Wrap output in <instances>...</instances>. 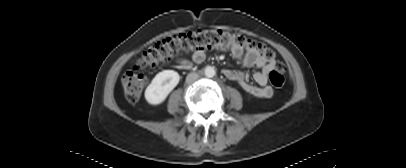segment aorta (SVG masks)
Masks as SVG:
<instances>
[{
    "label": "aorta",
    "mask_w": 406,
    "mask_h": 168,
    "mask_svg": "<svg viewBox=\"0 0 406 168\" xmlns=\"http://www.w3.org/2000/svg\"><path fill=\"white\" fill-rule=\"evenodd\" d=\"M204 74L208 78H212L215 75V70L211 66H207L204 70Z\"/></svg>",
    "instance_id": "obj_1"
}]
</instances>
